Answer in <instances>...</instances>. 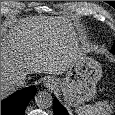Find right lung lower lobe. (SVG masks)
Masks as SVG:
<instances>
[{
  "label": "right lung lower lobe",
  "instance_id": "1",
  "mask_svg": "<svg viewBox=\"0 0 115 115\" xmlns=\"http://www.w3.org/2000/svg\"><path fill=\"white\" fill-rule=\"evenodd\" d=\"M36 94L35 86L19 90L1 101V115H24L28 102Z\"/></svg>",
  "mask_w": 115,
  "mask_h": 115
}]
</instances>
